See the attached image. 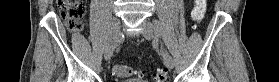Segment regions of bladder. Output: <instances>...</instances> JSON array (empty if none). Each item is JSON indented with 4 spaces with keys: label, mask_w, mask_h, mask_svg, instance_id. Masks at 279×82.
Instances as JSON below:
<instances>
[{
    "label": "bladder",
    "mask_w": 279,
    "mask_h": 82,
    "mask_svg": "<svg viewBox=\"0 0 279 82\" xmlns=\"http://www.w3.org/2000/svg\"><path fill=\"white\" fill-rule=\"evenodd\" d=\"M123 82H146V81H141V80H126V81H123Z\"/></svg>",
    "instance_id": "31cf9c89"
}]
</instances>
